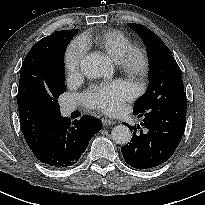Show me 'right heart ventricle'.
I'll return each instance as SVG.
<instances>
[{"label": "right heart ventricle", "mask_w": 205, "mask_h": 205, "mask_svg": "<svg viewBox=\"0 0 205 205\" xmlns=\"http://www.w3.org/2000/svg\"><path fill=\"white\" fill-rule=\"evenodd\" d=\"M93 43L116 63H119L124 54L133 47L131 39L115 29L97 32L93 37Z\"/></svg>", "instance_id": "obj_1"}]
</instances>
